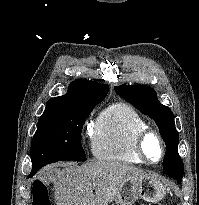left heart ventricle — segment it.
I'll return each instance as SVG.
<instances>
[{"label": "left heart ventricle", "instance_id": "obj_1", "mask_svg": "<svg viewBox=\"0 0 199 205\" xmlns=\"http://www.w3.org/2000/svg\"><path fill=\"white\" fill-rule=\"evenodd\" d=\"M146 152L152 161H158L161 155V147L155 137H149L146 141Z\"/></svg>", "mask_w": 199, "mask_h": 205}]
</instances>
